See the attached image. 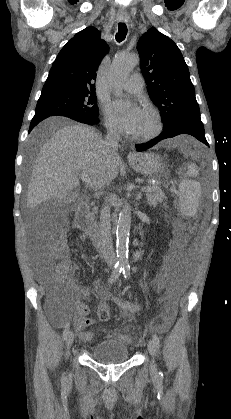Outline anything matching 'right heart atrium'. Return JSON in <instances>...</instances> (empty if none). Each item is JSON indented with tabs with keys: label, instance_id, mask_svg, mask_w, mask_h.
Wrapping results in <instances>:
<instances>
[{
	"label": "right heart atrium",
	"instance_id": "obj_1",
	"mask_svg": "<svg viewBox=\"0 0 231 419\" xmlns=\"http://www.w3.org/2000/svg\"><path fill=\"white\" fill-rule=\"evenodd\" d=\"M104 125L108 132L111 134H118L120 132L118 124L109 115L108 109L106 107L104 108Z\"/></svg>",
	"mask_w": 231,
	"mask_h": 419
}]
</instances>
